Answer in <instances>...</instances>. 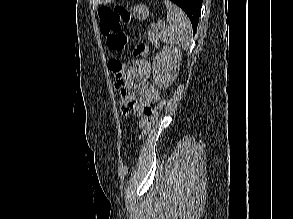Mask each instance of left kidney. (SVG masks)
Returning a JSON list of instances; mask_svg holds the SVG:
<instances>
[{
  "instance_id": "left-kidney-1",
  "label": "left kidney",
  "mask_w": 293,
  "mask_h": 219,
  "mask_svg": "<svg viewBox=\"0 0 293 219\" xmlns=\"http://www.w3.org/2000/svg\"><path fill=\"white\" fill-rule=\"evenodd\" d=\"M182 53L174 46H164L152 64L153 80L160 89L168 88L175 80L180 68Z\"/></svg>"
}]
</instances>
